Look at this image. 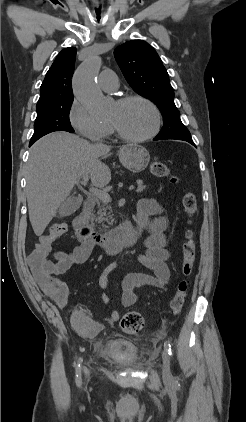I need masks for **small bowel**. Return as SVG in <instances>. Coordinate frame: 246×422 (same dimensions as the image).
Instances as JSON below:
<instances>
[{"mask_svg":"<svg viewBox=\"0 0 246 422\" xmlns=\"http://www.w3.org/2000/svg\"><path fill=\"white\" fill-rule=\"evenodd\" d=\"M138 221L142 231L148 232L145 240V253L139 257L140 261L154 272V276L145 274H130L121 283V302L124 307H131L138 301L134 293L136 287L163 288L170 280V270L167 260L170 251L167 249L165 230L167 220L161 215V207L151 199H141L138 202ZM93 250V245L82 243L73 250L57 251L50 260V269L44 279H36L41 291L59 307L64 308L68 303L69 289L67 284L58 276L66 273L72 266L85 263ZM117 268V263L106 266L98 278L102 290L108 286L109 275ZM104 303L109 301L106 293L102 295ZM120 315L112 311L105 321L115 323ZM71 323L73 328L83 337L92 338L103 328L102 323L95 320L91 313L82 306H77L72 313Z\"/></svg>","mask_w":246,"mask_h":422,"instance_id":"c3829d8e","label":"small bowel"}]
</instances>
